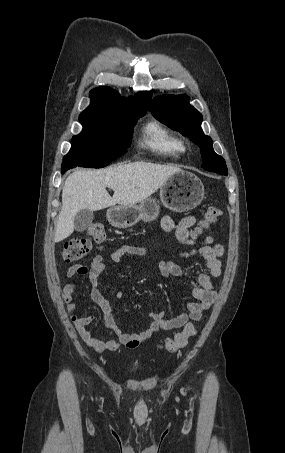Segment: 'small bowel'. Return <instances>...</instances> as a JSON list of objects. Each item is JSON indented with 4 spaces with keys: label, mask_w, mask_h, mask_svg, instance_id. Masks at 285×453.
Wrapping results in <instances>:
<instances>
[{
    "label": "small bowel",
    "mask_w": 285,
    "mask_h": 453,
    "mask_svg": "<svg viewBox=\"0 0 285 453\" xmlns=\"http://www.w3.org/2000/svg\"><path fill=\"white\" fill-rule=\"evenodd\" d=\"M196 224L194 216L185 217L175 221L170 216L162 219L161 226L166 232H174L178 241L187 247L190 251L181 254V257L188 258L192 256H201L205 262V269L195 271V280L192 281V295L196 302L187 305L188 310L178 316L167 319L164 311H151L149 313V326L139 333L124 332L114 320L113 301L107 299L99 289L100 276L104 270V257L96 255L91 264L74 265L66 271V277L71 278L77 275H88L91 286V297L101 309L104 320L108 328L116 335V339H101L95 336L89 329L88 325L92 322L93 317L80 316L76 312V304L73 302V295L76 290L74 283L66 284L62 290V298L68 306V312L73 321L78 334L82 340L97 352L118 351L120 348H136L141 342L151 338L159 330H171L187 325L192 320H199L204 311H207L216 299V291L213 278L221 274L220 257L223 254V247L214 242L213 233L210 232L202 241H196L190 234V228ZM148 250L137 246H121L112 254L111 259L119 262L125 255H146ZM161 275L164 278L182 277L183 268L174 260L161 261L159 264ZM123 297V292L118 291L114 299L119 300Z\"/></svg>",
    "instance_id": "obj_1"
}]
</instances>
